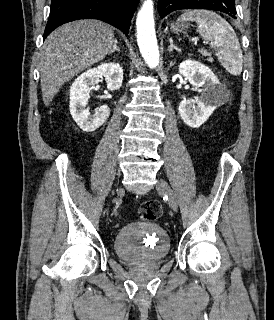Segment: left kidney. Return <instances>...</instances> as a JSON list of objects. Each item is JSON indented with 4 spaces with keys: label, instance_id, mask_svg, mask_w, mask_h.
Wrapping results in <instances>:
<instances>
[{
    "label": "left kidney",
    "instance_id": "1",
    "mask_svg": "<svg viewBox=\"0 0 274 320\" xmlns=\"http://www.w3.org/2000/svg\"><path fill=\"white\" fill-rule=\"evenodd\" d=\"M178 70L200 94L195 100H182L179 104V114L187 126L200 128L216 108L223 106L227 92L212 70L200 62L185 60Z\"/></svg>",
    "mask_w": 274,
    "mask_h": 320
}]
</instances>
